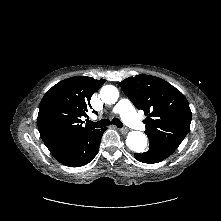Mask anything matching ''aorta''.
<instances>
[{"instance_id": "obj_1", "label": "aorta", "mask_w": 221, "mask_h": 221, "mask_svg": "<svg viewBox=\"0 0 221 221\" xmlns=\"http://www.w3.org/2000/svg\"><path fill=\"white\" fill-rule=\"evenodd\" d=\"M100 97L106 104H114L119 97L118 89L113 85H105L101 88ZM128 148L137 153H143L147 147V137L143 132L131 131L126 138Z\"/></svg>"}]
</instances>
